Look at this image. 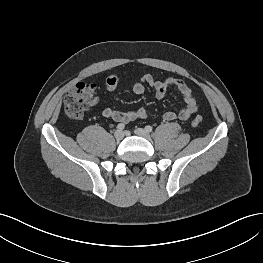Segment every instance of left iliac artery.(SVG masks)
<instances>
[{
  "mask_svg": "<svg viewBox=\"0 0 263 263\" xmlns=\"http://www.w3.org/2000/svg\"><path fill=\"white\" fill-rule=\"evenodd\" d=\"M152 129H153V128H152V126H150V125L145 126V130L148 131V132H151Z\"/></svg>",
  "mask_w": 263,
  "mask_h": 263,
  "instance_id": "1",
  "label": "left iliac artery"
}]
</instances>
